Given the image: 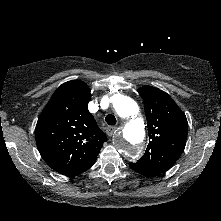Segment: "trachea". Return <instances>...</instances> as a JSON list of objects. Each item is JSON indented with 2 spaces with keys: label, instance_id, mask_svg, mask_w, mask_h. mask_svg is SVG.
I'll return each instance as SVG.
<instances>
[{
  "label": "trachea",
  "instance_id": "1",
  "mask_svg": "<svg viewBox=\"0 0 221 221\" xmlns=\"http://www.w3.org/2000/svg\"><path fill=\"white\" fill-rule=\"evenodd\" d=\"M105 121H106V123L108 124V125H110V126H115L116 125V123H117V120H116V118L113 116V115H107L106 117H105Z\"/></svg>",
  "mask_w": 221,
  "mask_h": 221
}]
</instances>
